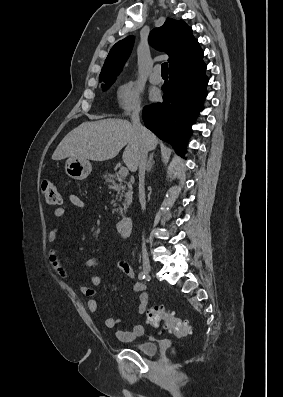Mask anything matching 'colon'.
Instances as JSON below:
<instances>
[{
  "mask_svg": "<svg viewBox=\"0 0 283 397\" xmlns=\"http://www.w3.org/2000/svg\"><path fill=\"white\" fill-rule=\"evenodd\" d=\"M41 192L45 201L52 206L61 203V196L56 186L49 180H44L41 184ZM147 323L153 329L164 326L177 336H185L190 333L191 326L188 321L182 320L164 307H152L147 313Z\"/></svg>",
  "mask_w": 283,
  "mask_h": 397,
  "instance_id": "colon-1",
  "label": "colon"
}]
</instances>
